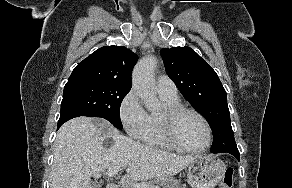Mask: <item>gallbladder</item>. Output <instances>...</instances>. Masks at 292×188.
Listing matches in <instances>:
<instances>
[{
    "label": "gallbladder",
    "mask_w": 292,
    "mask_h": 188,
    "mask_svg": "<svg viewBox=\"0 0 292 188\" xmlns=\"http://www.w3.org/2000/svg\"><path fill=\"white\" fill-rule=\"evenodd\" d=\"M101 186H103V182H94L90 188H101Z\"/></svg>",
    "instance_id": "1"
}]
</instances>
